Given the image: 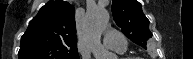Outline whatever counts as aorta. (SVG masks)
Here are the masks:
<instances>
[{"mask_svg": "<svg viewBox=\"0 0 193 59\" xmlns=\"http://www.w3.org/2000/svg\"><path fill=\"white\" fill-rule=\"evenodd\" d=\"M109 21V13L103 8H93L86 14L84 31L93 43V54L96 59H116V55L100 47L101 34Z\"/></svg>", "mask_w": 193, "mask_h": 59, "instance_id": "1", "label": "aorta"}]
</instances>
